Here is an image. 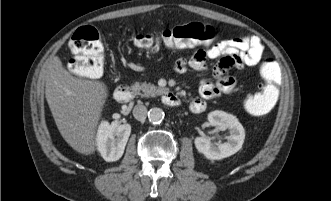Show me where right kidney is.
Here are the masks:
<instances>
[{"mask_svg": "<svg viewBox=\"0 0 331 201\" xmlns=\"http://www.w3.org/2000/svg\"><path fill=\"white\" fill-rule=\"evenodd\" d=\"M130 133L131 126L129 124L101 122L97 131L96 142L98 151L105 161H117L122 157Z\"/></svg>", "mask_w": 331, "mask_h": 201, "instance_id": "obj_1", "label": "right kidney"}]
</instances>
